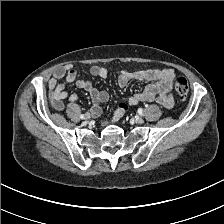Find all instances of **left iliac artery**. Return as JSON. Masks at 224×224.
<instances>
[{"label":"left iliac artery","mask_w":224,"mask_h":224,"mask_svg":"<svg viewBox=\"0 0 224 224\" xmlns=\"http://www.w3.org/2000/svg\"><path fill=\"white\" fill-rule=\"evenodd\" d=\"M138 113H139V115L143 116V109L142 108H139L138 109Z\"/></svg>","instance_id":"44dca946"}]
</instances>
